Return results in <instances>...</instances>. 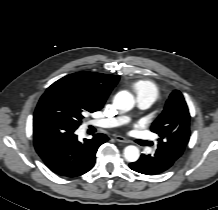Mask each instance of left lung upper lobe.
I'll return each instance as SVG.
<instances>
[{
    "mask_svg": "<svg viewBox=\"0 0 218 210\" xmlns=\"http://www.w3.org/2000/svg\"><path fill=\"white\" fill-rule=\"evenodd\" d=\"M151 131L159 135L158 149L168 156L181 157L190 137V114L183 95L174 90Z\"/></svg>",
    "mask_w": 218,
    "mask_h": 210,
    "instance_id": "obj_1",
    "label": "left lung upper lobe"
}]
</instances>
